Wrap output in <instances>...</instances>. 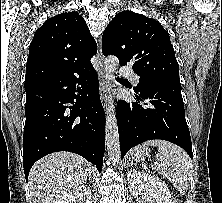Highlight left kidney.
Returning a JSON list of instances; mask_svg holds the SVG:
<instances>
[{"label": "left kidney", "instance_id": "1", "mask_svg": "<svg viewBox=\"0 0 222 203\" xmlns=\"http://www.w3.org/2000/svg\"><path fill=\"white\" fill-rule=\"evenodd\" d=\"M127 181L129 190L137 203H172L166 183L154 175L130 169L127 173Z\"/></svg>", "mask_w": 222, "mask_h": 203}]
</instances>
